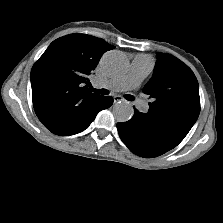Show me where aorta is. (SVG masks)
Instances as JSON below:
<instances>
[{"label":"aorta","instance_id":"762f6f07","mask_svg":"<svg viewBox=\"0 0 223 223\" xmlns=\"http://www.w3.org/2000/svg\"><path fill=\"white\" fill-rule=\"evenodd\" d=\"M101 67L110 75H117L124 68V60L117 55L111 54L103 58ZM113 114L118 122H125L132 117L133 110L129 104L118 103L113 107Z\"/></svg>","mask_w":223,"mask_h":223}]
</instances>
